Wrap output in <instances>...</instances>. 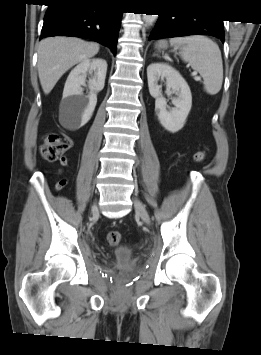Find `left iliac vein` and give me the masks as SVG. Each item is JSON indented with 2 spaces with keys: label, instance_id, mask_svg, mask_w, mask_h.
Masks as SVG:
<instances>
[{
  "label": "left iliac vein",
  "instance_id": "1",
  "mask_svg": "<svg viewBox=\"0 0 261 355\" xmlns=\"http://www.w3.org/2000/svg\"><path fill=\"white\" fill-rule=\"evenodd\" d=\"M134 206H135V210L137 212V214L140 216V218L143 220V222L147 225L150 224V216L146 210V208L144 207L143 203L135 198L134 199Z\"/></svg>",
  "mask_w": 261,
  "mask_h": 355
}]
</instances>
